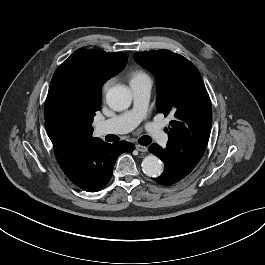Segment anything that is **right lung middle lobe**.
I'll list each match as a JSON object with an SVG mask.
<instances>
[{
    "instance_id": "dd1d6c3e",
    "label": "right lung middle lobe",
    "mask_w": 265,
    "mask_h": 265,
    "mask_svg": "<svg viewBox=\"0 0 265 265\" xmlns=\"http://www.w3.org/2000/svg\"><path fill=\"white\" fill-rule=\"evenodd\" d=\"M76 60L63 62L55 71L45 102V124L71 133L92 123L101 105V87L75 74Z\"/></svg>"
}]
</instances>
